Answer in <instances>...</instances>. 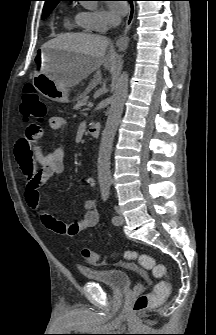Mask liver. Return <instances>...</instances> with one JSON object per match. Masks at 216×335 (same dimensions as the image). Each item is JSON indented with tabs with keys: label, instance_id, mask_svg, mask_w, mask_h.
Segmentation results:
<instances>
[{
	"label": "liver",
	"instance_id": "1",
	"mask_svg": "<svg viewBox=\"0 0 216 335\" xmlns=\"http://www.w3.org/2000/svg\"><path fill=\"white\" fill-rule=\"evenodd\" d=\"M108 45L109 39L104 36L73 33L59 35L42 47L64 50L74 54L68 68L62 73L53 75V79L68 88L78 85L94 71H97L99 75L101 65L106 69H112L118 56L114 53L106 54Z\"/></svg>",
	"mask_w": 216,
	"mask_h": 335
}]
</instances>
